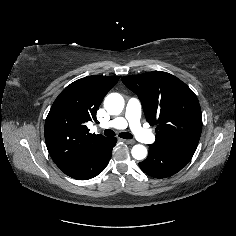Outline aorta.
Returning a JSON list of instances; mask_svg holds the SVG:
<instances>
[{
  "instance_id": "1",
  "label": "aorta",
  "mask_w": 236,
  "mask_h": 236,
  "mask_svg": "<svg viewBox=\"0 0 236 236\" xmlns=\"http://www.w3.org/2000/svg\"><path fill=\"white\" fill-rule=\"evenodd\" d=\"M104 107L111 115H118L124 108V99L119 93H110L104 100ZM131 154L134 159L143 160L147 156V149L144 145H134Z\"/></svg>"
}]
</instances>
